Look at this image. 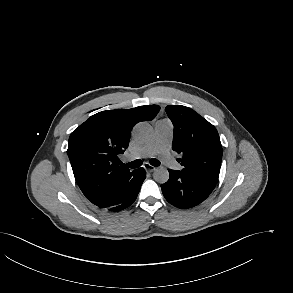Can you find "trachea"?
Masks as SVG:
<instances>
[{
  "label": "trachea",
  "mask_w": 293,
  "mask_h": 293,
  "mask_svg": "<svg viewBox=\"0 0 293 293\" xmlns=\"http://www.w3.org/2000/svg\"><path fill=\"white\" fill-rule=\"evenodd\" d=\"M150 164L152 166H159L160 165V161L157 160V159H155V158H153V159L150 160ZM141 165H142V161L140 159H137V160L132 161V162L127 163V164L121 163V166L123 168H138Z\"/></svg>",
  "instance_id": "1"
}]
</instances>
